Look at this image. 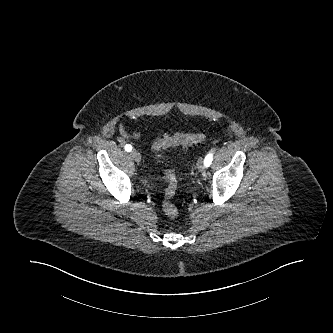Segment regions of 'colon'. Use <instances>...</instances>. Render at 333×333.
<instances>
[{
    "label": "colon",
    "instance_id": "1",
    "mask_svg": "<svg viewBox=\"0 0 333 333\" xmlns=\"http://www.w3.org/2000/svg\"><path fill=\"white\" fill-rule=\"evenodd\" d=\"M206 140V136L203 134H186V133H177L171 136H164L156 140L153 144V151L155 153L160 150L171 147V146H188L202 143ZM165 179L167 181V187L164 192V200L162 203V209L164 213L171 217L175 218L178 215V209L173 203L172 199L176 193L177 189V178L175 173L172 170L165 171Z\"/></svg>",
    "mask_w": 333,
    "mask_h": 333
}]
</instances>
